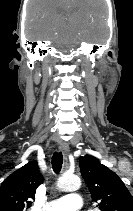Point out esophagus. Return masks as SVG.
I'll list each match as a JSON object with an SVG mask.
<instances>
[{
	"label": "esophagus",
	"instance_id": "1",
	"mask_svg": "<svg viewBox=\"0 0 133 211\" xmlns=\"http://www.w3.org/2000/svg\"><path fill=\"white\" fill-rule=\"evenodd\" d=\"M59 151L62 152L65 159H67V156L69 154V146L66 143H61L59 145Z\"/></svg>",
	"mask_w": 133,
	"mask_h": 211
}]
</instances>
